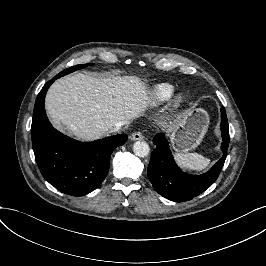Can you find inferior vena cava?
I'll return each mask as SVG.
<instances>
[{
  "mask_svg": "<svg viewBox=\"0 0 266 266\" xmlns=\"http://www.w3.org/2000/svg\"><path fill=\"white\" fill-rule=\"evenodd\" d=\"M127 124H128L127 122H120L116 126H114L112 129H110L108 132L113 133V132L122 131L124 126H126Z\"/></svg>",
  "mask_w": 266,
  "mask_h": 266,
  "instance_id": "602c4592",
  "label": "inferior vena cava"
}]
</instances>
